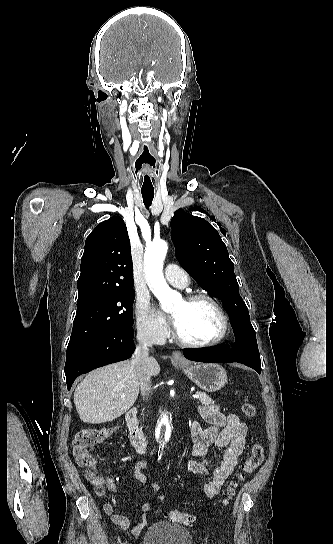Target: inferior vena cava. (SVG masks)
Instances as JSON below:
<instances>
[{
	"label": "inferior vena cava",
	"instance_id": "inferior-vena-cava-1",
	"mask_svg": "<svg viewBox=\"0 0 333 544\" xmlns=\"http://www.w3.org/2000/svg\"><path fill=\"white\" fill-rule=\"evenodd\" d=\"M138 345L134 354L133 363L139 379L141 394L147 399L151 392V375L148 370V347L159 341V332L154 328L145 327L137 330Z\"/></svg>",
	"mask_w": 333,
	"mask_h": 544
}]
</instances>
